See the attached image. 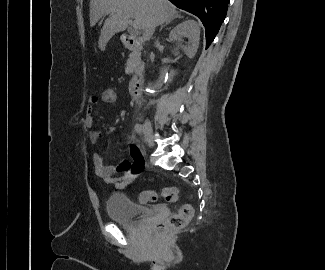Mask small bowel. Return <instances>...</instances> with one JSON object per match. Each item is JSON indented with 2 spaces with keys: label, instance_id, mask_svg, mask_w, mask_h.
<instances>
[{
  "label": "small bowel",
  "instance_id": "obj_1",
  "mask_svg": "<svg viewBox=\"0 0 325 270\" xmlns=\"http://www.w3.org/2000/svg\"><path fill=\"white\" fill-rule=\"evenodd\" d=\"M100 98L101 96H90L89 105L86 110L85 123L89 129V138L93 143L98 142L102 137V132L94 128V105L100 101ZM92 160L99 177L117 190L128 187L143 170V164L138 159V151L133 145L130 147L129 158L121 160L116 165L106 164L98 153L93 154Z\"/></svg>",
  "mask_w": 325,
  "mask_h": 270
}]
</instances>
